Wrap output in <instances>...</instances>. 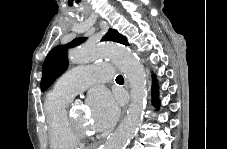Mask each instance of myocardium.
<instances>
[{
	"instance_id": "obj_1",
	"label": "myocardium",
	"mask_w": 227,
	"mask_h": 149,
	"mask_svg": "<svg viewBox=\"0 0 227 149\" xmlns=\"http://www.w3.org/2000/svg\"><path fill=\"white\" fill-rule=\"evenodd\" d=\"M66 124L71 134L76 138L83 139L90 136L89 132L79 125L68 112H66Z\"/></svg>"
}]
</instances>
